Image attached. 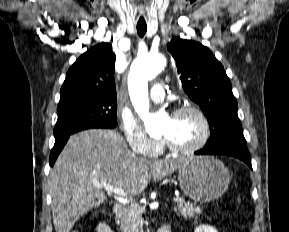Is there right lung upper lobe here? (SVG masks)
<instances>
[{"label":"right lung upper lobe","mask_w":289,"mask_h":232,"mask_svg":"<svg viewBox=\"0 0 289 232\" xmlns=\"http://www.w3.org/2000/svg\"><path fill=\"white\" fill-rule=\"evenodd\" d=\"M115 60L110 43L98 44L81 55L67 72L59 104L88 97L117 101Z\"/></svg>","instance_id":"cb5924a9"}]
</instances>
